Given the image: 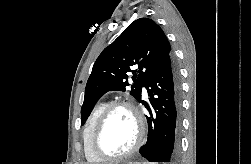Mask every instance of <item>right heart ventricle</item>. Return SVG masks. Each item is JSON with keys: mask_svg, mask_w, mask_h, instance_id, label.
Returning a JSON list of instances; mask_svg holds the SVG:
<instances>
[{"mask_svg": "<svg viewBox=\"0 0 251 164\" xmlns=\"http://www.w3.org/2000/svg\"><path fill=\"white\" fill-rule=\"evenodd\" d=\"M107 105L108 104L105 102L96 104L94 108L92 109V111L90 112L84 124V129H83L84 152H85L86 159L88 160V162L92 164H99L100 162H102V160L97 158L92 153L91 147H90V140H91V134L95 126V123Z\"/></svg>", "mask_w": 251, "mask_h": 164, "instance_id": "obj_1", "label": "right heart ventricle"}]
</instances>
